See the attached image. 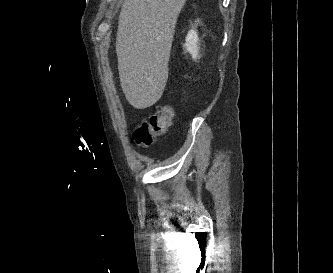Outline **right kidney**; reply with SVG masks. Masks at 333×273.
Instances as JSON below:
<instances>
[{"mask_svg":"<svg viewBox=\"0 0 333 273\" xmlns=\"http://www.w3.org/2000/svg\"><path fill=\"white\" fill-rule=\"evenodd\" d=\"M198 35L194 30H190L186 36L185 48L196 59L198 56Z\"/></svg>","mask_w":333,"mask_h":273,"instance_id":"obj_1","label":"right kidney"}]
</instances>
